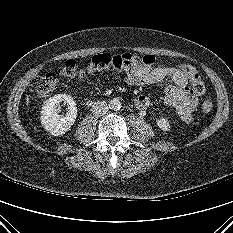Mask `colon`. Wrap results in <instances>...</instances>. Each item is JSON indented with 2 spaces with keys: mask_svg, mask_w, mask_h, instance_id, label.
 <instances>
[{
  "mask_svg": "<svg viewBox=\"0 0 233 233\" xmlns=\"http://www.w3.org/2000/svg\"><path fill=\"white\" fill-rule=\"evenodd\" d=\"M117 61H139L145 66H154L160 61L153 55L140 56L135 53H125L121 55H110L107 53H101L94 55L91 58L90 63L83 67L77 64L73 60H69L59 69V75L67 79L83 78L87 74L93 73L99 69H103L111 66ZM179 68L187 75L192 90L199 95H202L205 91V85L200 75L195 68L188 64H181ZM58 87V78L53 73H47L41 76L35 77L31 83L30 88L39 97L46 98L50 96ZM213 109V103L211 100L206 99L202 104V110L208 114Z\"/></svg>",
  "mask_w": 233,
  "mask_h": 233,
  "instance_id": "obj_1",
  "label": "colon"
}]
</instances>
